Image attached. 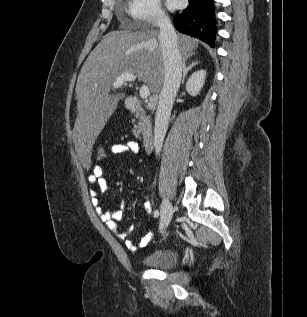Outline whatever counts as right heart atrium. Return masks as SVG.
<instances>
[{
    "mask_svg": "<svg viewBox=\"0 0 307 317\" xmlns=\"http://www.w3.org/2000/svg\"><path fill=\"white\" fill-rule=\"evenodd\" d=\"M127 12L138 23L157 25L165 20L159 0H129Z\"/></svg>",
    "mask_w": 307,
    "mask_h": 317,
    "instance_id": "obj_1",
    "label": "right heart atrium"
}]
</instances>
